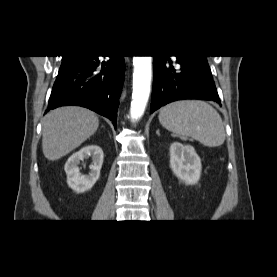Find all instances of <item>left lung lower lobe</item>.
Masks as SVG:
<instances>
[{
  "label": "left lung lower lobe",
  "instance_id": "0a47b994",
  "mask_svg": "<svg viewBox=\"0 0 277 277\" xmlns=\"http://www.w3.org/2000/svg\"><path fill=\"white\" fill-rule=\"evenodd\" d=\"M151 113L172 101L213 100L220 103L207 56H153Z\"/></svg>",
  "mask_w": 277,
  "mask_h": 277
}]
</instances>
